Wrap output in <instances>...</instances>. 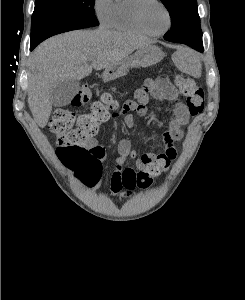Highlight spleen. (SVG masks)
<instances>
[{
    "instance_id": "spleen-1",
    "label": "spleen",
    "mask_w": 245,
    "mask_h": 300,
    "mask_svg": "<svg viewBox=\"0 0 245 300\" xmlns=\"http://www.w3.org/2000/svg\"><path fill=\"white\" fill-rule=\"evenodd\" d=\"M180 69L184 73L199 78L201 76V63L198 55L190 51L185 52Z\"/></svg>"
}]
</instances>
